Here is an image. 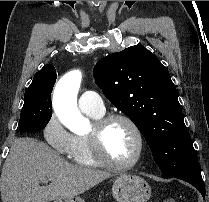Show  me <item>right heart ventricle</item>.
Masks as SVG:
<instances>
[{
	"label": "right heart ventricle",
	"instance_id": "obj_1",
	"mask_svg": "<svg viewBox=\"0 0 209 202\" xmlns=\"http://www.w3.org/2000/svg\"><path fill=\"white\" fill-rule=\"evenodd\" d=\"M94 119H99L103 114L97 115L85 112ZM67 157L74 163L86 167H96L99 162L95 159L87 135H76L73 137V143Z\"/></svg>",
	"mask_w": 209,
	"mask_h": 202
}]
</instances>
